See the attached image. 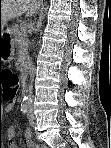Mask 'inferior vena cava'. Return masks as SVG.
Segmentation results:
<instances>
[{
	"mask_svg": "<svg viewBox=\"0 0 111 148\" xmlns=\"http://www.w3.org/2000/svg\"><path fill=\"white\" fill-rule=\"evenodd\" d=\"M34 75H35V69L32 67L30 71L31 82L33 81Z\"/></svg>",
	"mask_w": 111,
	"mask_h": 148,
	"instance_id": "inferior-vena-cava-1",
	"label": "inferior vena cava"
}]
</instances>
